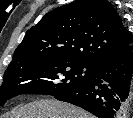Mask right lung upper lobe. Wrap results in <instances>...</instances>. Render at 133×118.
<instances>
[{
  "label": "right lung upper lobe",
  "mask_w": 133,
  "mask_h": 118,
  "mask_svg": "<svg viewBox=\"0 0 133 118\" xmlns=\"http://www.w3.org/2000/svg\"><path fill=\"white\" fill-rule=\"evenodd\" d=\"M129 46V33L107 0H75L28 30L7 69L49 58L95 67Z\"/></svg>",
  "instance_id": "1"
}]
</instances>
